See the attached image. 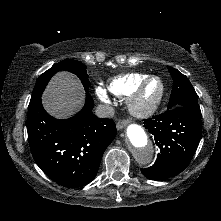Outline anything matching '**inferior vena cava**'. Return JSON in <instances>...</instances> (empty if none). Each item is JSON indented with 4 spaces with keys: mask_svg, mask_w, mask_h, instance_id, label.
<instances>
[{
    "mask_svg": "<svg viewBox=\"0 0 221 221\" xmlns=\"http://www.w3.org/2000/svg\"><path fill=\"white\" fill-rule=\"evenodd\" d=\"M114 113V109L110 105H98L95 109V114L99 118H112Z\"/></svg>",
    "mask_w": 221,
    "mask_h": 221,
    "instance_id": "obj_1",
    "label": "inferior vena cava"
}]
</instances>
